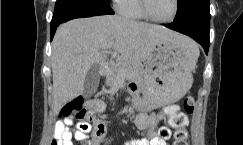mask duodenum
I'll use <instances>...</instances> for the list:
<instances>
[{
  "label": "duodenum",
  "instance_id": "1",
  "mask_svg": "<svg viewBox=\"0 0 243 145\" xmlns=\"http://www.w3.org/2000/svg\"><path fill=\"white\" fill-rule=\"evenodd\" d=\"M108 71H109V66L108 65H102L100 67L99 73H100V75L105 76V75L108 74Z\"/></svg>",
  "mask_w": 243,
  "mask_h": 145
}]
</instances>
